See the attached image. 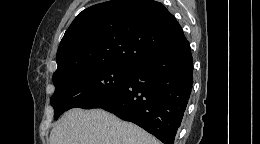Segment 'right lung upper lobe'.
I'll return each mask as SVG.
<instances>
[{"label": "right lung upper lobe", "instance_id": "cb5924a9", "mask_svg": "<svg viewBox=\"0 0 260 144\" xmlns=\"http://www.w3.org/2000/svg\"><path fill=\"white\" fill-rule=\"evenodd\" d=\"M185 41L181 26L162 3H100L83 10L66 30L53 76L105 64L131 67Z\"/></svg>", "mask_w": 260, "mask_h": 144}]
</instances>
